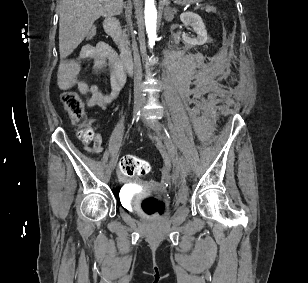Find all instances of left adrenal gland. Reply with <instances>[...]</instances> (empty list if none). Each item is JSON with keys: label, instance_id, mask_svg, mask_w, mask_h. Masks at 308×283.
Returning a JSON list of instances; mask_svg holds the SVG:
<instances>
[{"label": "left adrenal gland", "instance_id": "a2214340", "mask_svg": "<svg viewBox=\"0 0 308 283\" xmlns=\"http://www.w3.org/2000/svg\"><path fill=\"white\" fill-rule=\"evenodd\" d=\"M169 0H161V5L164 7V18L167 22H171L174 14L177 12L175 8L169 6Z\"/></svg>", "mask_w": 308, "mask_h": 283}]
</instances>
